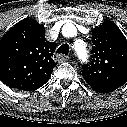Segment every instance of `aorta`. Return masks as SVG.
I'll return each instance as SVG.
<instances>
[{"instance_id":"762f6f07","label":"aorta","mask_w":127,"mask_h":127,"mask_svg":"<svg viewBox=\"0 0 127 127\" xmlns=\"http://www.w3.org/2000/svg\"><path fill=\"white\" fill-rule=\"evenodd\" d=\"M79 56L82 60H86L88 57V51L84 47L81 51H79Z\"/></svg>"}]
</instances>
